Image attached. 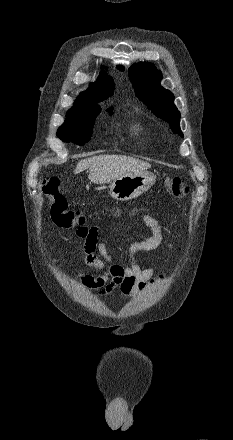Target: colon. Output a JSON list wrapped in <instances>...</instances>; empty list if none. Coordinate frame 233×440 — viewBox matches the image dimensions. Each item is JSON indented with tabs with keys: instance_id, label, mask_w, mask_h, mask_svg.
<instances>
[{
	"instance_id": "1",
	"label": "colon",
	"mask_w": 233,
	"mask_h": 440,
	"mask_svg": "<svg viewBox=\"0 0 233 440\" xmlns=\"http://www.w3.org/2000/svg\"><path fill=\"white\" fill-rule=\"evenodd\" d=\"M169 192L176 197H181L189 192L190 186L180 177H167L165 180ZM43 193L52 200L51 217L54 224L60 229H72L83 227L86 223V216L80 209H69V201L56 177L44 179L42 185ZM106 212V209H104Z\"/></svg>"
}]
</instances>
